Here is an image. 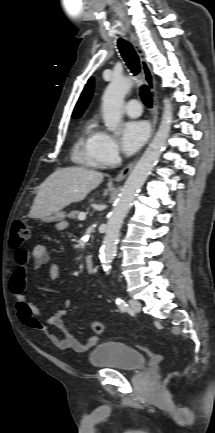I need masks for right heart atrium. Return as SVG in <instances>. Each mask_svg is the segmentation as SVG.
I'll list each match as a JSON object with an SVG mask.
<instances>
[{"mask_svg": "<svg viewBox=\"0 0 215 433\" xmlns=\"http://www.w3.org/2000/svg\"><path fill=\"white\" fill-rule=\"evenodd\" d=\"M97 155L102 165L115 163L119 156V147L115 138L106 131H99Z\"/></svg>", "mask_w": 215, "mask_h": 433, "instance_id": "obj_1", "label": "right heart atrium"}]
</instances>
